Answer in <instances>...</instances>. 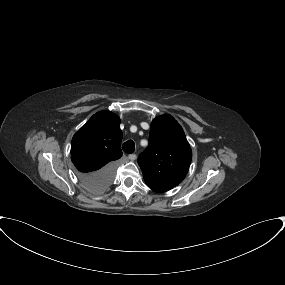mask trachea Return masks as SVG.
I'll return each mask as SVG.
<instances>
[{
	"label": "trachea",
	"instance_id": "1",
	"mask_svg": "<svg viewBox=\"0 0 285 285\" xmlns=\"http://www.w3.org/2000/svg\"><path fill=\"white\" fill-rule=\"evenodd\" d=\"M122 149L125 153L131 154L135 150V143L132 140H128L122 145Z\"/></svg>",
	"mask_w": 285,
	"mask_h": 285
}]
</instances>
